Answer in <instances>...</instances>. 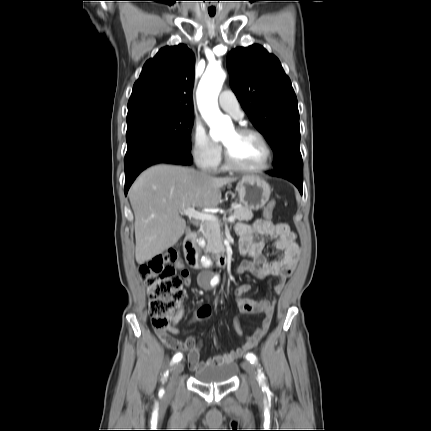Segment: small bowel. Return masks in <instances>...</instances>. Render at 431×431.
<instances>
[{"instance_id":"1","label":"small bowel","mask_w":431,"mask_h":431,"mask_svg":"<svg viewBox=\"0 0 431 431\" xmlns=\"http://www.w3.org/2000/svg\"><path fill=\"white\" fill-rule=\"evenodd\" d=\"M237 231L240 236L239 251L245 259L237 266L236 273L249 272L258 278L275 276L278 281L273 287V293L280 294L297 263L298 246L295 234L286 224L273 223L267 217L256 220L252 225H239ZM265 236L275 240V248L281 253L277 260L269 261L263 255ZM177 266L181 270L184 284L190 286L192 284L190 272L182 262H178ZM251 289L250 284L239 285L235 290L236 304L241 314H262L263 320L260 326L246 338V342L235 350L201 361V343L195 336H189L184 341L173 337L179 333L178 324L184 316V307L181 304L178 305L171 324L163 329H157L156 334L167 348L186 354L192 370L198 371L233 362L258 345L270 327L274 312L275 303L273 301H256L247 297L246 294Z\"/></svg>"}]
</instances>
